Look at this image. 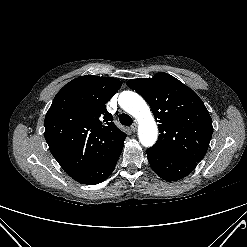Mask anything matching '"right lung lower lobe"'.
<instances>
[{
	"label": "right lung lower lobe",
	"instance_id": "right-lung-lower-lobe-1",
	"mask_svg": "<svg viewBox=\"0 0 247 247\" xmlns=\"http://www.w3.org/2000/svg\"><path fill=\"white\" fill-rule=\"evenodd\" d=\"M122 147H120L117 151H115L112 155H110L106 160L101 162L95 168L87 172L86 174L76 178L75 180L82 184H98L112 173L114 167L118 161V158L122 152Z\"/></svg>",
	"mask_w": 247,
	"mask_h": 247
}]
</instances>
